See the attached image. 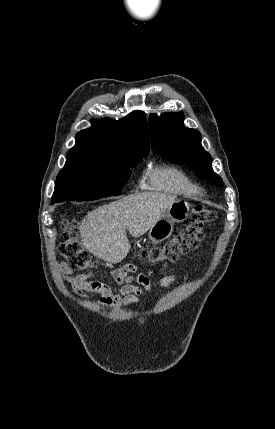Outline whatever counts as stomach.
<instances>
[{"label":"stomach","instance_id":"1","mask_svg":"<svg viewBox=\"0 0 275 429\" xmlns=\"http://www.w3.org/2000/svg\"><path fill=\"white\" fill-rule=\"evenodd\" d=\"M188 213V202L176 200L149 229V237L152 242L160 243L169 238L173 233L174 224L186 220Z\"/></svg>","mask_w":275,"mask_h":429}]
</instances>
